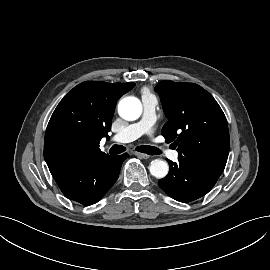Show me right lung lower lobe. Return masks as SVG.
I'll list each match as a JSON object with an SVG mask.
<instances>
[{
    "label": "right lung lower lobe",
    "mask_w": 270,
    "mask_h": 270,
    "mask_svg": "<svg viewBox=\"0 0 270 270\" xmlns=\"http://www.w3.org/2000/svg\"><path fill=\"white\" fill-rule=\"evenodd\" d=\"M127 153L104 155L78 167L54 174L60 190L69 199L83 205L97 203L116 182Z\"/></svg>",
    "instance_id": "98d812e1"
}]
</instances>
